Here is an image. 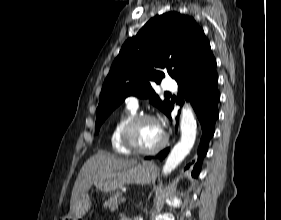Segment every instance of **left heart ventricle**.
I'll use <instances>...</instances> for the list:
<instances>
[{
	"label": "left heart ventricle",
	"instance_id": "b2bd125f",
	"mask_svg": "<svg viewBox=\"0 0 281 220\" xmlns=\"http://www.w3.org/2000/svg\"><path fill=\"white\" fill-rule=\"evenodd\" d=\"M163 138V133L157 122L143 121L134 131V141L140 148L148 149L158 145Z\"/></svg>",
	"mask_w": 281,
	"mask_h": 220
}]
</instances>
